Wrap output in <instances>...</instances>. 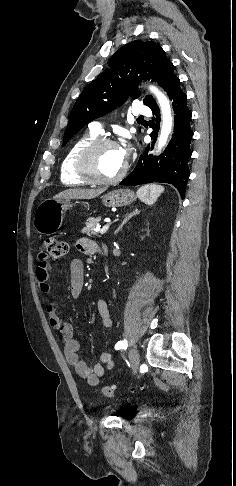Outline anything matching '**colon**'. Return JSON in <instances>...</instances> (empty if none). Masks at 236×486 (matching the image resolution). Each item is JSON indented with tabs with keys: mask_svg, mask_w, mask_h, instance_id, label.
<instances>
[{
	"mask_svg": "<svg viewBox=\"0 0 236 486\" xmlns=\"http://www.w3.org/2000/svg\"><path fill=\"white\" fill-rule=\"evenodd\" d=\"M67 252V244L64 241L55 239V238H48L44 241V254L45 258L50 260H59L62 258ZM102 393L104 396L108 398L116 397V392L113 387L104 386L102 388Z\"/></svg>",
	"mask_w": 236,
	"mask_h": 486,
	"instance_id": "obj_1",
	"label": "colon"
}]
</instances>
